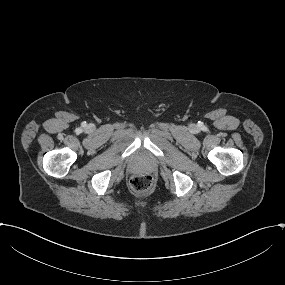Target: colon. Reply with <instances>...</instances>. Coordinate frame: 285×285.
I'll return each instance as SVG.
<instances>
[{
    "mask_svg": "<svg viewBox=\"0 0 285 285\" xmlns=\"http://www.w3.org/2000/svg\"><path fill=\"white\" fill-rule=\"evenodd\" d=\"M130 186L136 192H148L154 186V178L149 173H138L130 179Z\"/></svg>",
    "mask_w": 285,
    "mask_h": 285,
    "instance_id": "5ec220e1",
    "label": "colon"
}]
</instances>
